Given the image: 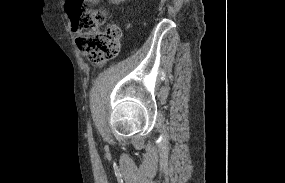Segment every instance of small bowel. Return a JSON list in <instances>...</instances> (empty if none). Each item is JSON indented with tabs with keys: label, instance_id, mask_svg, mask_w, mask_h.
<instances>
[{
	"label": "small bowel",
	"instance_id": "1",
	"mask_svg": "<svg viewBox=\"0 0 285 183\" xmlns=\"http://www.w3.org/2000/svg\"><path fill=\"white\" fill-rule=\"evenodd\" d=\"M87 2L90 3V4H95V3L98 2V0H87Z\"/></svg>",
	"mask_w": 285,
	"mask_h": 183
}]
</instances>
